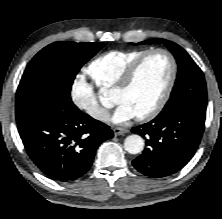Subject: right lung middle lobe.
<instances>
[{"label":"right lung middle lobe","instance_id":"right-lung-middle-lobe-1","mask_svg":"<svg viewBox=\"0 0 222 219\" xmlns=\"http://www.w3.org/2000/svg\"><path fill=\"white\" fill-rule=\"evenodd\" d=\"M104 43L54 42L38 52L27 65L16 93V119L24 120L52 101H71L77 72Z\"/></svg>","mask_w":222,"mask_h":219}]
</instances>
